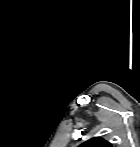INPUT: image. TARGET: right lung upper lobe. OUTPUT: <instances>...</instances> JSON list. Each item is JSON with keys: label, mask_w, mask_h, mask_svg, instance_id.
I'll return each mask as SVG.
<instances>
[{"label": "right lung upper lobe", "mask_w": 140, "mask_h": 147, "mask_svg": "<svg viewBox=\"0 0 140 147\" xmlns=\"http://www.w3.org/2000/svg\"><path fill=\"white\" fill-rule=\"evenodd\" d=\"M84 147H110V143L101 139L100 137H95L90 139L89 141L82 144Z\"/></svg>", "instance_id": "cb5924a9"}]
</instances>
